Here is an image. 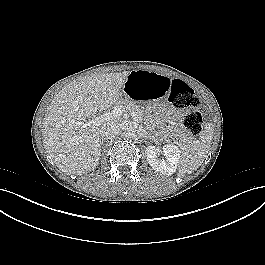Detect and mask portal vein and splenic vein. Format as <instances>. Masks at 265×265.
Masks as SVG:
<instances>
[{
	"label": "portal vein and splenic vein",
	"instance_id": "obj_1",
	"mask_svg": "<svg viewBox=\"0 0 265 265\" xmlns=\"http://www.w3.org/2000/svg\"><path fill=\"white\" fill-rule=\"evenodd\" d=\"M125 112V109L122 107H115L113 110L106 112L96 118L89 119L87 122H75L76 126H83V127H96L100 126L105 122H110L111 120L118 119L123 115ZM131 116L134 119H137L138 117L136 116L134 111L129 110Z\"/></svg>",
	"mask_w": 265,
	"mask_h": 265
}]
</instances>
